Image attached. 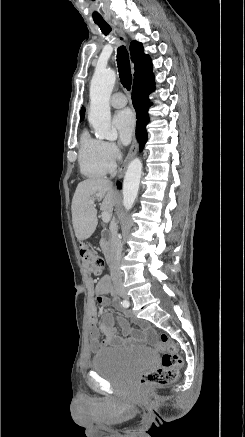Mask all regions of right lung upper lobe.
I'll return each instance as SVG.
<instances>
[{"label":"right lung upper lobe","instance_id":"obj_1","mask_svg":"<svg viewBox=\"0 0 245 437\" xmlns=\"http://www.w3.org/2000/svg\"><path fill=\"white\" fill-rule=\"evenodd\" d=\"M130 53L134 62V83L133 85L153 79L152 62L149 55L143 53V45L141 42L132 41L130 44ZM85 115V108H81V120Z\"/></svg>","mask_w":245,"mask_h":437}]
</instances>
